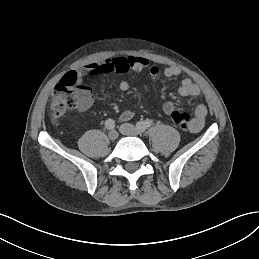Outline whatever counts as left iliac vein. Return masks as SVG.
<instances>
[{
    "instance_id": "1",
    "label": "left iliac vein",
    "mask_w": 259,
    "mask_h": 259,
    "mask_svg": "<svg viewBox=\"0 0 259 259\" xmlns=\"http://www.w3.org/2000/svg\"><path fill=\"white\" fill-rule=\"evenodd\" d=\"M119 130L123 135L134 137L138 136L140 132L134 125L129 123L122 124Z\"/></svg>"
}]
</instances>
